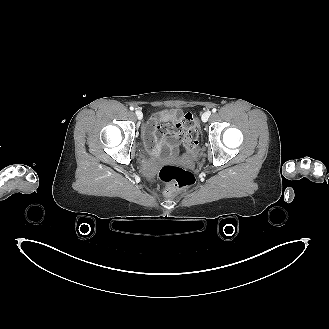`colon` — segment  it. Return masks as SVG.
Masks as SVG:
<instances>
[{
  "instance_id": "colon-1",
  "label": "colon",
  "mask_w": 329,
  "mask_h": 329,
  "mask_svg": "<svg viewBox=\"0 0 329 329\" xmlns=\"http://www.w3.org/2000/svg\"><path fill=\"white\" fill-rule=\"evenodd\" d=\"M182 120L185 148L189 154L194 155L197 151L199 137L198 126L190 112L184 113ZM157 175L168 186L167 194L169 196H173L178 189L188 188L196 183V176L193 171L172 164L162 165Z\"/></svg>"
}]
</instances>
